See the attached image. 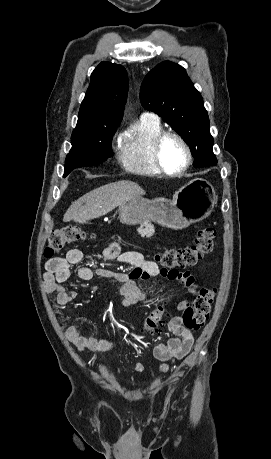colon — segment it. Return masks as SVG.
<instances>
[{"instance_id": "5ec220e1", "label": "colon", "mask_w": 271, "mask_h": 459, "mask_svg": "<svg viewBox=\"0 0 271 459\" xmlns=\"http://www.w3.org/2000/svg\"><path fill=\"white\" fill-rule=\"evenodd\" d=\"M215 237L216 230L211 225H204L199 229L197 237L191 245L178 249L162 250L155 255V259L163 265V268L170 270H183L192 267L213 250ZM85 238L86 233L75 225H65L55 229L49 236L44 256L51 258L66 246ZM216 293V287L200 289L195 300L188 304L183 311L182 321L185 327L197 330L204 324L209 317L211 304ZM166 305V303L160 304L147 313L142 325L144 333H154L159 330L166 315Z\"/></svg>"}]
</instances>
